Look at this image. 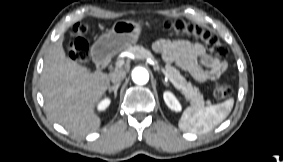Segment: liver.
Wrapping results in <instances>:
<instances>
[{"label": "liver", "mask_w": 283, "mask_h": 162, "mask_svg": "<svg viewBox=\"0 0 283 162\" xmlns=\"http://www.w3.org/2000/svg\"><path fill=\"white\" fill-rule=\"evenodd\" d=\"M129 67L127 63L123 71H128ZM112 74L91 72L67 58L62 40H58L46 54L41 74V89L48 115L72 133L96 131L101 125V118L94 108L105 95Z\"/></svg>", "instance_id": "obj_1"}]
</instances>
